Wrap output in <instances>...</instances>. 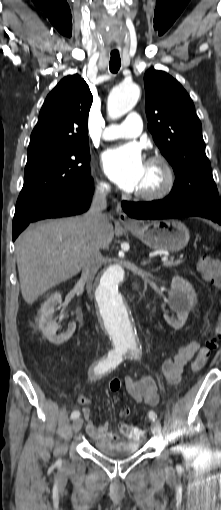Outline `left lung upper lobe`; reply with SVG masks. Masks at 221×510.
Listing matches in <instances>:
<instances>
[{"label": "left lung upper lobe", "instance_id": "obj_1", "mask_svg": "<svg viewBox=\"0 0 221 510\" xmlns=\"http://www.w3.org/2000/svg\"><path fill=\"white\" fill-rule=\"evenodd\" d=\"M144 84L148 129L176 176L166 199L220 204L205 154L201 123L190 96L177 80L163 71L148 70Z\"/></svg>", "mask_w": 221, "mask_h": 510}]
</instances>
